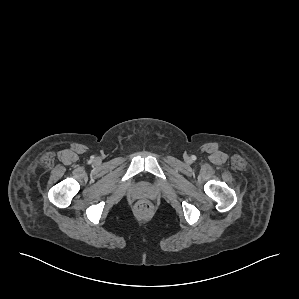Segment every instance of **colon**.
<instances>
[{"mask_svg":"<svg viewBox=\"0 0 299 299\" xmlns=\"http://www.w3.org/2000/svg\"><path fill=\"white\" fill-rule=\"evenodd\" d=\"M152 210V204L148 200H140L135 205L136 213L142 217L150 215Z\"/></svg>","mask_w":299,"mask_h":299,"instance_id":"1","label":"colon"}]
</instances>
